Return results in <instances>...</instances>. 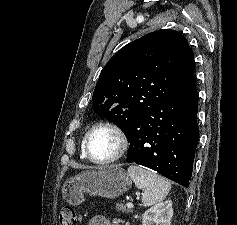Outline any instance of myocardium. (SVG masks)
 Here are the masks:
<instances>
[{"mask_svg":"<svg viewBox=\"0 0 237 225\" xmlns=\"http://www.w3.org/2000/svg\"><path fill=\"white\" fill-rule=\"evenodd\" d=\"M98 130H107L111 132L117 140V148L115 152L111 156L104 159H98L93 157L89 149L90 138L92 134ZM128 146L129 142L125 132L119 126L111 122H100L95 124L87 131L83 140V151L86 157L90 161L100 165L111 164L122 158L126 153Z\"/></svg>","mask_w":237,"mask_h":225,"instance_id":"1","label":"myocardium"}]
</instances>
